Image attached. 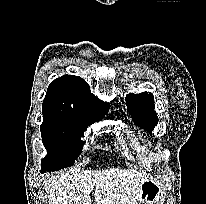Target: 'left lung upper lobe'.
Instances as JSON below:
<instances>
[{"mask_svg": "<svg viewBox=\"0 0 206 204\" xmlns=\"http://www.w3.org/2000/svg\"><path fill=\"white\" fill-rule=\"evenodd\" d=\"M125 100L135 123L145 131L152 132L158 122L152 93L128 94Z\"/></svg>", "mask_w": 206, "mask_h": 204, "instance_id": "1", "label": "left lung upper lobe"}]
</instances>
